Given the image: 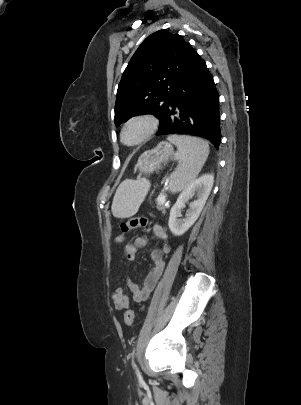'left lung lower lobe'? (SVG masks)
Listing matches in <instances>:
<instances>
[{"instance_id": "1", "label": "left lung lower lobe", "mask_w": 301, "mask_h": 405, "mask_svg": "<svg viewBox=\"0 0 301 405\" xmlns=\"http://www.w3.org/2000/svg\"><path fill=\"white\" fill-rule=\"evenodd\" d=\"M156 134L199 136L219 149V95L205 61L196 51Z\"/></svg>"}]
</instances>
